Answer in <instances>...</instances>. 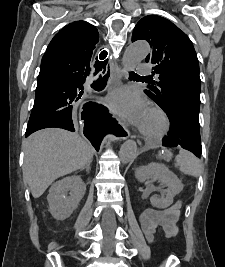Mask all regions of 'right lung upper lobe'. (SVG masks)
Returning <instances> with one entry per match:
<instances>
[{
	"label": "right lung upper lobe",
	"mask_w": 225,
	"mask_h": 267,
	"mask_svg": "<svg viewBox=\"0 0 225 267\" xmlns=\"http://www.w3.org/2000/svg\"><path fill=\"white\" fill-rule=\"evenodd\" d=\"M99 35L96 27L86 21H75L62 28L52 39L46 51H71L86 55L99 68L106 63L92 58ZM97 59V57H96Z\"/></svg>",
	"instance_id": "obj_1"
}]
</instances>
